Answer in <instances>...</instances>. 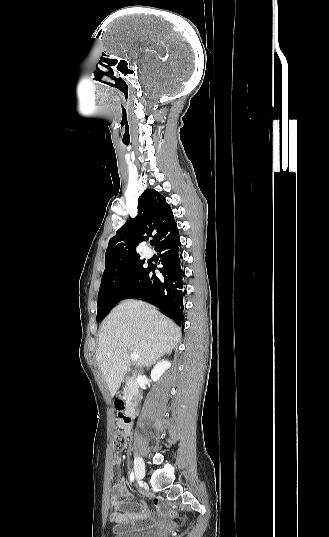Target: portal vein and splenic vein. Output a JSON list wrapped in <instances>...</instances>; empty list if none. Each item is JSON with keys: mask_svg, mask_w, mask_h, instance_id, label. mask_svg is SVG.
<instances>
[{"mask_svg": "<svg viewBox=\"0 0 329 537\" xmlns=\"http://www.w3.org/2000/svg\"><path fill=\"white\" fill-rule=\"evenodd\" d=\"M130 357L132 360H137L139 358V355L135 354V353H130Z\"/></svg>", "mask_w": 329, "mask_h": 537, "instance_id": "obj_1", "label": "portal vein and splenic vein"}]
</instances>
